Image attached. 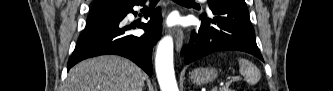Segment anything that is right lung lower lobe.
<instances>
[{"label": "right lung lower lobe", "instance_id": "1", "mask_svg": "<svg viewBox=\"0 0 333 91\" xmlns=\"http://www.w3.org/2000/svg\"><path fill=\"white\" fill-rule=\"evenodd\" d=\"M139 1L128 8L110 13L90 14L84 31L80 34L75 50L67 65L69 70L76 63L99 55L115 54L126 57L141 67L148 75H152V49L161 37L162 17L160 8L152 12L143 10L148 23L138 25L145 31L142 36L129 34L133 25H125L123 19L133 10L135 5H144Z\"/></svg>", "mask_w": 333, "mask_h": 91}]
</instances>
